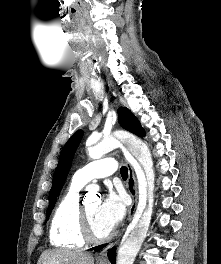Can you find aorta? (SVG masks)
Wrapping results in <instances>:
<instances>
[{"label":"aorta","mask_w":221,"mask_h":264,"mask_svg":"<svg viewBox=\"0 0 221 264\" xmlns=\"http://www.w3.org/2000/svg\"><path fill=\"white\" fill-rule=\"evenodd\" d=\"M115 146V140L96 139L94 144L88 148V155L92 159H99ZM126 146L129 152L135 157L142 166L145 180L139 183L140 193H144L147 200V207L140 218L134 220L128 227L118 252L117 264H133L134 260L146 238L147 231L151 222L154 202V181L155 174L153 170V161L150 150L147 145L134 137L126 138ZM97 186L90 185V190Z\"/></svg>","instance_id":"obj_1"}]
</instances>
